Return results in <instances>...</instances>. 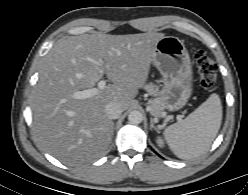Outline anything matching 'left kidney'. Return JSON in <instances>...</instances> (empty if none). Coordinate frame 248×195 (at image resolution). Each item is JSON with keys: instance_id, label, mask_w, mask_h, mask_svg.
Wrapping results in <instances>:
<instances>
[{"instance_id": "5707ae66", "label": "left kidney", "mask_w": 248, "mask_h": 195, "mask_svg": "<svg viewBox=\"0 0 248 195\" xmlns=\"http://www.w3.org/2000/svg\"><path fill=\"white\" fill-rule=\"evenodd\" d=\"M157 144L159 147H163V140L160 137L157 138Z\"/></svg>"}]
</instances>
